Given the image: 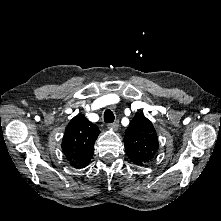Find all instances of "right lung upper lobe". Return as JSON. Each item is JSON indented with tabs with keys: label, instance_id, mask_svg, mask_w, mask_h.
<instances>
[{
	"label": "right lung upper lobe",
	"instance_id": "obj_1",
	"mask_svg": "<svg viewBox=\"0 0 221 221\" xmlns=\"http://www.w3.org/2000/svg\"><path fill=\"white\" fill-rule=\"evenodd\" d=\"M99 133L98 127L83 114L71 119L64 133L62 150L72 167L81 169L89 164Z\"/></svg>",
	"mask_w": 221,
	"mask_h": 221
}]
</instances>
